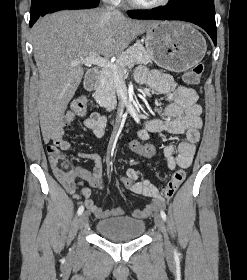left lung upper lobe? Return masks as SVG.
<instances>
[{"mask_svg":"<svg viewBox=\"0 0 247 280\" xmlns=\"http://www.w3.org/2000/svg\"><path fill=\"white\" fill-rule=\"evenodd\" d=\"M197 1H213V0H171L169 3L170 6H180V5H185Z\"/></svg>","mask_w":247,"mask_h":280,"instance_id":"1","label":"left lung upper lobe"}]
</instances>
